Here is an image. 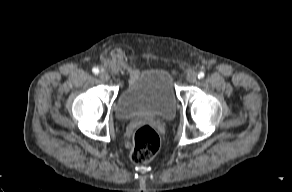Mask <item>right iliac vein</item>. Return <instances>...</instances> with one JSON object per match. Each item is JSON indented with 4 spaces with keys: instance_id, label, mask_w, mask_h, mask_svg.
Here are the masks:
<instances>
[{
    "instance_id": "1",
    "label": "right iliac vein",
    "mask_w": 292,
    "mask_h": 192,
    "mask_svg": "<svg viewBox=\"0 0 292 192\" xmlns=\"http://www.w3.org/2000/svg\"><path fill=\"white\" fill-rule=\"evenodd\" d=\"M99 78H100L102 81L107 82V81L109 80V75H108L107 72H105V71H101V72L99 73Z\"/></svg>"
}]
</instances>
